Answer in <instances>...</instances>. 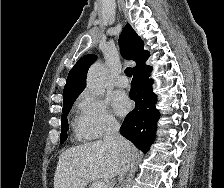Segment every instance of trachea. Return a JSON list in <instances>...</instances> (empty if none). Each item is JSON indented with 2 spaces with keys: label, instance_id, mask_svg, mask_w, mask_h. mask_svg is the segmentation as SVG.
Segmentation results:
<instances>
[{
  "label": "trachea",
  "instance_id": "3493384b",
  "mask_svg": "<svg viewBox=\"0 0 224 188\" xmlns=\"http://www.w3.org/2000/svg\"><path fill=\"white\" fill-rule=\"evenodd\" d=\"M125 74H126V76H128V77H132V69H131L130 67H127V68L125 69Z\"/></svg>",
  "mask_w": 224,
  "mask_h": 188
}]
</instances>
